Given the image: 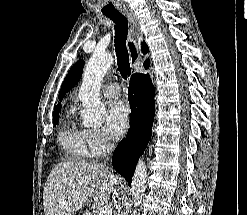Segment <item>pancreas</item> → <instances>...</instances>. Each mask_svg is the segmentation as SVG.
Here are the masks:
<instances>
[{
	"label": "pancreas",
	"mask_w": 247,
	"mask_h": 215,
	"mask_svg": "<svg viewBox=\"0 0 247 215\" xmlns=\"http://www.w3.org/2000/svg\"><path fill=\"white\" fill-rule=\"evenodd\" d=\"M84 215H91L90 213H86V214H84Z\"/></svg>",
	"instance_id": "cf45deb5"
}]
</instances>
